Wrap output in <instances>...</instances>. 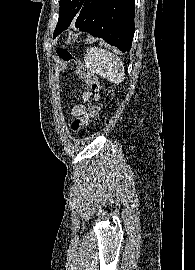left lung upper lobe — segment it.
Returning <instances> with one entry per match:
<instances>
[{
    "mask_svg": "<svg viewBox=\"0 0 195 270\" xmlns=\"http://www.w3.org/2000/svg\"><path fill=\"white\" fill-rule=\"evenodd\" d=\"M85 0H60V12L54 36L67 29L81 10Z\"/></svg>",
    "mask_w": 195,
    "mask_h": 270,
    "instance_id": "1",
    "label": "left lung upper lobe"
}]
</instances>
